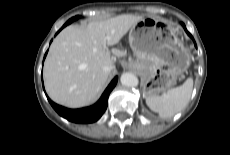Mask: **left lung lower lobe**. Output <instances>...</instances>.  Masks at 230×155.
Instances as JSON below:
<instances>
[{"instance_id":"0a47b994","label":"left lung lower lobe","mask_w":230,"mask_h":155,"mask_svg":"<svg viewBox=\"0 0 230 155\" xmlns=\"http://www.w3.org/2000/svg\"><path fill=\"white\" fill-rule=\"evenodd\" d=\"M182 25H183L185 31L187 32V34L193 39L192 35L186 30L185 25H184V24H182ZM193 41H194V44H195V46H196V43H195V40H194V39H193Z\"/></svg>"}]
</instances>
